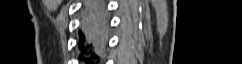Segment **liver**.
I'll list each match as a JSON object with an SVG mask.
<instances>
[{
	"label": "liver",
	"mask_w": 242,
	"mask_h": 64,
	"mask_svg": "<svg viewBox=\"0 0 242 64\" xmlns=\"http://www.w3.org/2000/svg\"><path fill=\"white\" fill-rule=\"evenodd\" d=\"M99 28V30L96 29ZM84 33L92 39V41H98L99 39L103 38L105 35V27L100 28L98 24L95 22L89 23L85 21L84 23Z\"/></svg>",
	"instance_id": "1"
}]
</instances>
